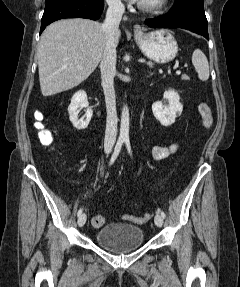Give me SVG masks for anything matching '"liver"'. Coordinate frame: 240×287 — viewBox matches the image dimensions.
Here are the masks:
<instances>
[{
  "instance_id": "liver-1",
  "label": "liver",
  "mask_w": 240,
  "mask_h": 287,
  "mask_svg": "<svg viewBox=\"0 0 240 287\" xmlns=\"http://www.w3.org/2000/svg\"><path fill=\"white\" fill-rule=\"evenodd\" d=\"M105 44L103 24L96 21L75 18L50 24L37 51L43 96L67 91L85 81L98 66Z\"/></svg>"
}]
</instances>
